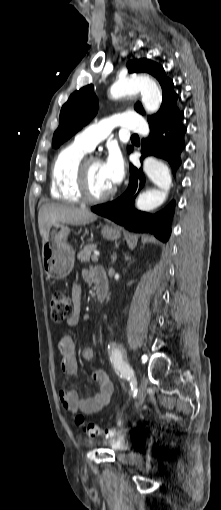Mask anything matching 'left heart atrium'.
Segmentation results:
<instances>
[{"label":"left heart atrium","instance_id":"left-heart-atrium-1","mask_svg":"<svg viewBox=\"0 0 221 510\" xmlns=\"http://www.w3.org/2000/svg\"><path fill=\"white\" fill-rule=\"evenodd\" d=\"M105 177L112 187L119 184L124 176V161L121 153L113 148L102 162Z\"/></svg>","mask_w":221,"mask_h":510}]
</instances>
